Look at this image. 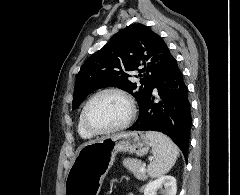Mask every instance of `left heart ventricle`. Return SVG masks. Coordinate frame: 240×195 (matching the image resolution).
Returning <instances> with one entry per match:
<instances>
[{
  "mask_svg": "<svg viewBox=\"0 0 240 195\" xmlns=\"http://www.w3.org/2000/svg\"><path fill=\"white\" fill-rule=\"evenodd\" d=\"M128 115L129 105L122 96L106 94L90 105L87 122L95 129H107L121 124Z\"/></svg>",
  "mask_w": 240,
  "mask_h": 195,
  "instance_id": "1",
  "label": "left heart ventricle"
}]
</instances>
